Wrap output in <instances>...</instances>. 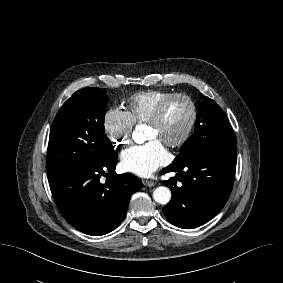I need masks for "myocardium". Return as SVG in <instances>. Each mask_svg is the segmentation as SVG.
Wrapping results in <instances>:
<instances>
[{
	"mask_svg": "<svg viewBox=\"0 0 283 283\" xmlns=\"http://www.w3.org/2000/svg\"><path fill=\"white\" fill-rule=\"evenodd\" d=\"M177 99H181L187 102L190 109V117L185 130L183 131V133L180 135L179 138L172 141L164 142V144L169 147L182 146L190 138L198 120V108L194 99L186 93H182V92L171 93L157 105L151 117L146 122L147 125L158 126L162 121V118L164 116L167 107L170 105L171 102Z\"/></svg>",
	"mask_w": 283,
	"mask_h": 283,
	"instance_id": "obj_1",
	"label": "myocardium"
}]
</instances>
